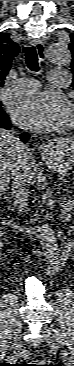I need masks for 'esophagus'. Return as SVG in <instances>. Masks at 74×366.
I'll use <instances>...</instances> for the list:
<instances>
[{
  "instance_id": "esophagus-1",
  "label": "esophagus",
  "mask_w": 74,
  "mask_h": 366,
  "mask_svg": "<svg viewBox=\"0 0 74 366\" xmlns=\"http://www.w3.org/2000/svg\"><path fill=\"white\" fill-rule=\"evenodd\" d=\"M33 45L35 46L37 53L39 55V58L44 61L46 59V50H45V46L42 43V41L40 40H35L33 41ZM42 151L44 155H47L49 152V149L44 145L42 147Z\"/></svg>"
}]
</instances>
